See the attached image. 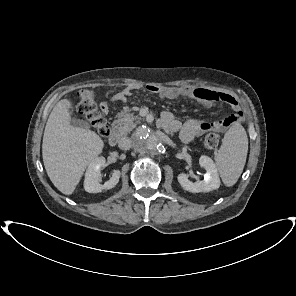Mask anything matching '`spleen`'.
Wrapping results in <instances>:
<instances>
[{
    "label": "spleen",
    "mask_w": 296,
    "mask_h": 296,
    "mask_svg": "<svg viewBox=\"0 0 296 296\" xmlns=\"http://www.w3.org/2000/svg\"><path fill=\"white\" fill-rule=\"evenodd\" d=\"M248 153V137L240 124L225 133L220 149L215 152V163L226 186H233L243 172Z\"/></svg>",
    "instance_id": "spleen-1"
}]
</instances>
